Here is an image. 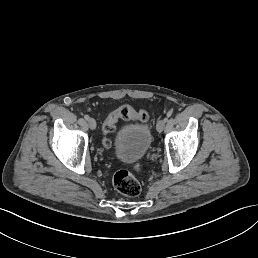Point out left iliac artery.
I'll return each mask as SVG.
<instances>
[{"label":"left iliac artery","instance_id":"44dca946","mask_svg":"<svg viewBox=\"0 0 258 258\" xmlns=\"http://www.w3.org/2000/svg\"><path fill=\"white\" fill-rule=\"evenodd\" d=\"M168 120H169L168 117H165V118H164V122H165V123L168 122Z\"/></svg>","mask_w":258,"mask_h":258}]
</instances>
